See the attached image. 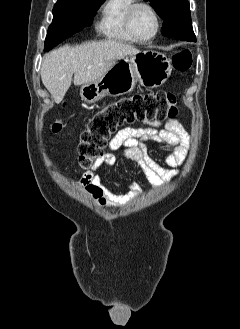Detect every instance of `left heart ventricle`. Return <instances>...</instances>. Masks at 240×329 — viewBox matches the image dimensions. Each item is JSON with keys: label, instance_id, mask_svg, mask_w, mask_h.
Segmentation results:
<instances>
[{"label": "left heart ventricle", "instance_id": "obj_1", "mask_svg": "<svg viewBox=\"0 0 240 329\" xmlns=\"http://www.w3.org/2000/svg\"><path fill=\"white\" fill-rule=\"evenodd\" d=\"M156 23L152 13L146 8L136 10L133 17V29L139 37H149L155 30Z\"/></svg>", "mask_w": 240, "mask_h": 329}]
</instances>
